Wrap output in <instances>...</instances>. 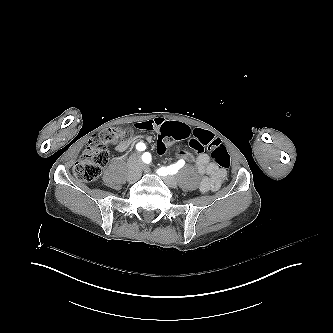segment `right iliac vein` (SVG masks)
I'll list each match as a JSON object with an SVG mask.
<instances>
[{
  "label": "right iliac vein",
  "instance_id": "63e3f726",
  "mask_svg": "<svg viewBox=\"0 0 333 333\" xmlns=\"http://www.w3.org/2000/svg\"><path fill=\"white\" fill-rule=\"evenodd\" d=\"M127 165H128V168H129L128 176H127L128 181L129 182L137 181L140 178V175H141V169H140V166H139L138 158L135 157V156L130 157Z\"/></svg>",
  "mask_w": 333,
  "mask_h": 333
}]
</instances>
